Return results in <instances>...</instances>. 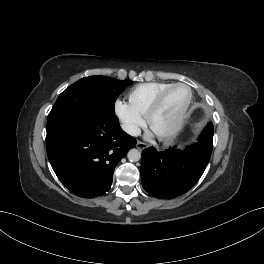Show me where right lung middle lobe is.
I'll return each mask as SVG.
<instances>
[{"mask_svg": "<svg viewBox=\"0 0 264 264\" xmlns=\"http://www.w3.org/2000/svg\"><path fill=\"white\" fill-rule=\"evenodd\" d=\"M131 83L132 81L129 80H116L103 76H89L80 79L59 95L48 115L47 130L82 110L115 114L116 99Z\"/></svg>", "mask_w": 264, "mask_h": 264, "instance_id": "right-lung-middle-lobe-1", "label": "right lung middle lobe"}]
</instances>
